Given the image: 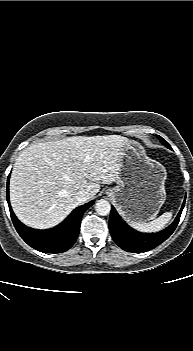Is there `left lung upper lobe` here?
<instances>
[{
	"mask_svg": "<svg viewBox=\"0 0 193 351\" xmlns=\"http://www.w3.org/2000/svg\"><path fill=\"white\" fill-rule=\"evenodd\" d=\"M157 138L160 140V142L165 145L167 148L171 149L170 145L159 135H157Z\"/></svg>",
	"mask_w": 193,
	"mask_h": 351,
	"instance_id": "1",
	"label": "left lung upper lobe"
}]
</instances>
